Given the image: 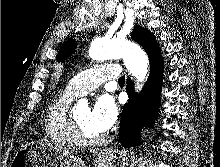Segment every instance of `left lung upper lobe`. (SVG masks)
I'll return each instance as SVG.
<instances>
[{
  "label": "left lung upper lobe",
  "mask_w": 220,
  "mask_h": 167,
  "mask_svg": "<svg viewBox=\"0 0 220 167\" xmlns=\"http://www.w3.org/2000/svg\"><path fill=\"white\" fill-rule=\"evenodd\" d=\"M134 41L138 42L146 50L148 56L160 52V48L156 39L149 30L136 26L131 34ZM76 44L73 39H69L63 43L56 57L58 62H64L75 50Z\"/></svg>",
  "instance_id": "1"
}]
</instances>
